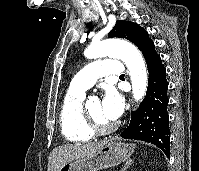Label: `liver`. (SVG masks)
<instances>
[{"mask_svg": "<svg viewBox=\"0 0 199 171\" xmlns=\"http://www.w3.org/2000/svg\"><path fill=\"white\" fill-rule=\"evenodd\" d=\"M107 141L86 144H69L59 146L50 153L48 158V171H59L66 162L76 160L101 149Z\"/></svg>", "mask_w": 199, "mask_h": 171, "instance_id": "liver-1", "label": "liver"}]
</instances>
